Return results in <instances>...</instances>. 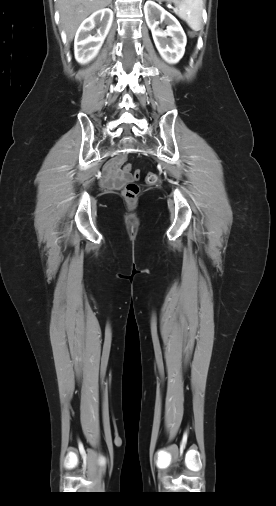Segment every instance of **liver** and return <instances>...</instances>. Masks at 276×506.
<instances>
[{
    "label": "liver",
    "instance_id": "obj_1",
    "mask_svg": "<svg viewBox=\"0 0 276 506\" xmlns=\"http://www.w3.org/2000/svg\"><path fill=\"white\" fill-rule=\"evenodd\" d=\"M112 0H58L60 22L71 41L80 23L90 14L108 6Z\"/></svg>",
    "mask_w": 276,
    "mask_h": 506
}]
</instances>
